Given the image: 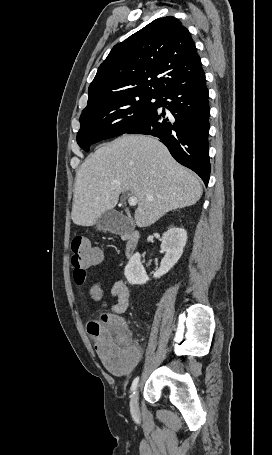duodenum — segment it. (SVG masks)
Wrapping results in <instances>:
<instances>
[{
  "instance_id": "410a0bca",
  "label": "duodenum",
  "mask_w": 272,
  "mask_h": 455,
  "mask_svg": "<svg viewBox=\"0 0 272 455\" xmlns=\"http://www.w3.org/2000/svg\"><path fill=\"white\" fill-rule=\"evenodd\" d=\"M121 238L125 242V254L127 258H131L138 248L140 233L138 231L123 233L121 234Z\"/></svg>"
}]
</instances>
